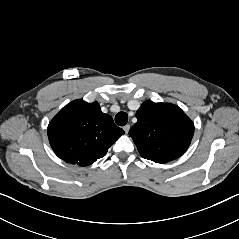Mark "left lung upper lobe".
<instances>
[{
  "label": "left lung upper lobe",
  "instance_id": "left-lung-upper-lobe-1",
  "mask_svg": "<svg viewBox=\"0 0 239 239\" xmlns=\"http://www.w3.org/2000/svg\"><path fill=\"white\" fill-rule=\"evenodd\" d=\"M129 136L143 158L166 163L183 155L194 133L193 122L176 105L145 101Z\"/></svg>",
  "mask_w": 239,
  "mask_h": 239
}]
</instances>
